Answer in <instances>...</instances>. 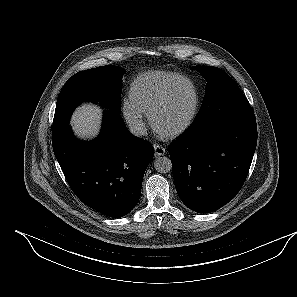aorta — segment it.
Masks as SVG:
<instances>
[{
	"mask_svg": "<svg viewBox=\"0 0 297 297\" xmlns=\"http://www.w3.org/2000/svg\"><path fill=\"white\" fill-rule=\"evenodd\" d=\"M154 168L159 173H167L172 169V162L168 157H157L154 161Z\"/></svg>",
	"mask_w": 297,
	"mask_h": 297,
	"instance_id": "obj_1",
	"label": "aorta"
}]
</instances>
